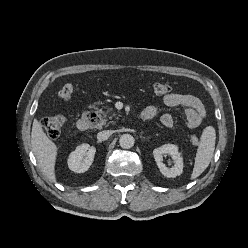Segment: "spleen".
I'll use <instances>...</instances> for the list:
<instances>
[{"instance_id": "obj_1", "label": "spleen", "mask_w": 248, "mask_h": 248, "mask_svg": "<svg viewBox=\"0 0 248 248\" xmlns=\"http://www.w3.org/2000/svg\"><path fill=\"white\" fill-rule=\"evenodd\" d=\"M216 133L213 127H207L200 139V144L197 149L195 164L191 179H196L200 176L211 162L215 149Z\"/></svg>"}]
</instances>
